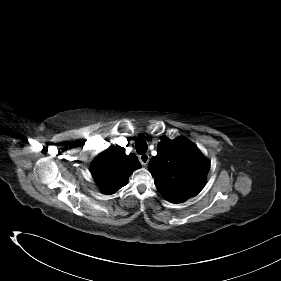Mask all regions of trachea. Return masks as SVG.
Segmentation results:
<instances>
[{
  "label": "trachea",
  "mask_w": 281,
  "mask_h": 281,
  "mask_svg": "<svg viewBox=\"0 0 281 281\" xmlns=\"http://www.w3.org/2000/svg\"><path fill=\"white\" fill-rule=\"evenodd\" d=\"M135 148L138 154H144L147 151V143L144 139L140 138L136 141Z\"/></svg>",
  "instance_id": "trachea-1"
}]
</instances>
